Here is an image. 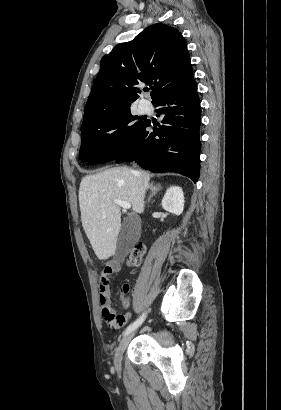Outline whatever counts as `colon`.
Segmentation results:
<instances>
[{
  "label": "colon",
  "mask_w": 281,
  "mask_h": 410,
  "mask_svg": "<svg viewBox=\"0 0 281 410\" xmlns=\"http://www.w3.org/2000/svg\"><path fill=\"white\" fill-rule=\"evenodd\" d=\"M146 248L145 245L142 243H138L134 246L133 250L130 252L127 258V264L132 267H137L140 265L142 258L145 254ZM129 287L128 285L124 284L119 287V292L121 295H125L128 293ZM105 322L107 325L113 329H118L122 326V317L120 315H116L112 310L107 309L103 313Z\"/></svg>",
  "instance_id": "obj_1"
}]
</instances>
